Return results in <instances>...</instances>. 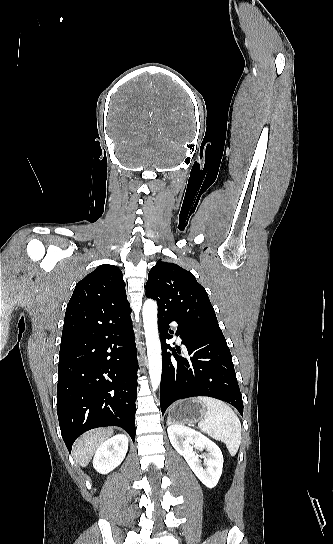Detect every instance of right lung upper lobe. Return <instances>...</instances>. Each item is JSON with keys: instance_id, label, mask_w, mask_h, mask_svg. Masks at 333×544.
<instances>
[{"instance_id": "right-lung-upper-lobe-1", "label": "right lung upper lobe", "mask_w": 333, "mask_h": 544, "mask_svg": "<svg viewBox=\"0 0 333 544\" xmlns=\"http://www.w3.org/2000/svg\"><path fill=\"white\" fill-rule=\"evenodd\" d=\"M131 313L121 270L103 264L82 279L68 303L62 338L115 323Z\"/></svg>"}]
</instances>
